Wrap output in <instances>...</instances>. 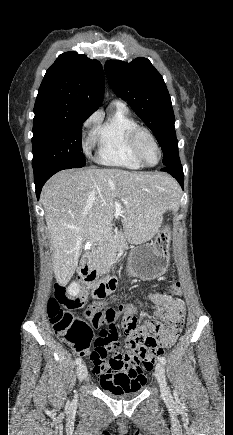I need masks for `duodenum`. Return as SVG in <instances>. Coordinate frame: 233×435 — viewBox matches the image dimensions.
I'll use <instances>...</instances> for the list:
<instances>
[{
  "label": "duodenum",
  "instance_id": "obj_1",
  "mask_svg": "<svg viewBox=\"0 0 233 435\" xmlns=\"http://www.w3.org/2000/svg\"><path fill=\"white\" fill-rule=\"evenodd\" d=\"M104 247H105V243L100 242L92 251L85 253L82 257V262L80 267V272L82 275H89V274L95 275L93 283L89 285V288H91L92 290V295L95 298L105 297L106 289L108 288V284H109L108 280L97 283L98 272L95 270V268L92 267V262L95 253L103 249Z\"/></svg>",
  "mask_w": 233,
  "mask_h": 435
}]
</instances>
